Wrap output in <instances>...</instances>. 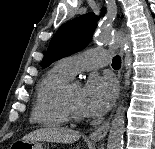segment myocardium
Returning <instances> with one entry per match:
<instances>
[{
	"mask_svg": "<svg viewBox=\"0 0 155 149\" xmlns=\"http://www.w3.org/2000/svg\"><path fill=\"white\" fill-rule=\"evenodd\" d=\"M68 86L69 85H65L61 91V96H60L61 106L68 119L78 122L83 120L84 116L76 112L68 102L67 95H66Z\"/></svg>",
	"mask_w": 155,
	"mask_h": 149,
	"instance_id": "f54148a6",
	"label": "myocardium"
}]
</instances>
